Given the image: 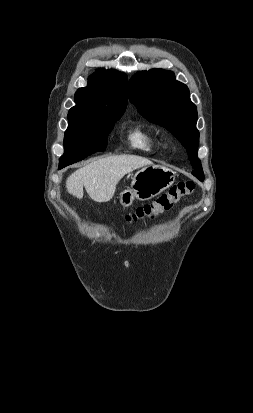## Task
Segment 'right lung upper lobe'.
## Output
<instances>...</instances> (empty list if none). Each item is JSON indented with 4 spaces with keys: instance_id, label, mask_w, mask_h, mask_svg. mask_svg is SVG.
<instances>
[{
    "instance_id": "1",
    "label": "right lung upper lobe",
    "mask_w": 253,
    "mask_h": 413,
    "mask_svg": "<svg viewBox=\"0 0 253 413\" xmlns=\"http://www.w3.org/2000/svg\"><path fill=\"white\" fill-rule=\"evenodd\" d=\"M127 82L124 73L97 70L89 77L88 85L76 91V106L69 110V122L123 114L128 100Z\"/></svg>"
}]
</instances>
